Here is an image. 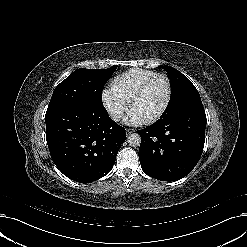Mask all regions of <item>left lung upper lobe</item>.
<instances>
[{"mask_svg":"<svg viewBox=\"0 0 247 247\" xmlns=\"http://www.w3.org/2000/svg\"><path fill=\"white\" fill-rule=\"evenodd\" d=\"M161 67L168 73L173 87L172 103L164 117L172 116L201 102L197 89L185 75L171 66L162 65Z\"/></svg>","mask_w":247,"mask_h":247,"instance_id":"left-lung-upper-lobe-1","label":"left lung upper lobe"}]
</instances>
